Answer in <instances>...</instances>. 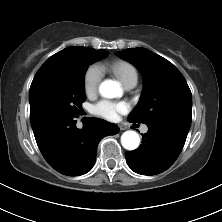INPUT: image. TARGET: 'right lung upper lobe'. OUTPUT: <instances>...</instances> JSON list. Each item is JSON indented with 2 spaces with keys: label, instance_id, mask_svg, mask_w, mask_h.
Segmentation results:
<instances>
[{
  "label": "right lung upper lobe",
  "instance_id": "right-lung-upper-lobe-1",
  "mask_svg": "<svg viewBox=\"0 0 222 222\" xmlns=\"http://www.w3.org/2000/svg\"><path fill=\"white\" fill-rule=\"evenodd\" d=\"M77 48H82V47H79V46L68 47V48L63 49L62 51L54 54V55L51 56V57H55V56H59V55L65 54V53H67V52H69V51H71V50H73V49H77ZM101 51H105V50H101Z\"/></svg>",
  "mask_w": 222,
  "mask_h": 222
}]
</instances>
